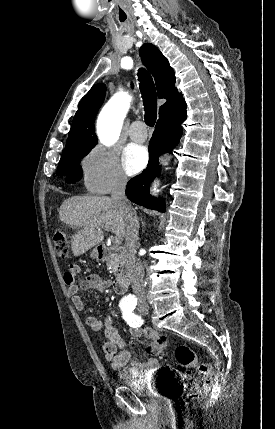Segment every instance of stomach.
Listing matches in <instances>:
<instances>
[{"instance_id": "obj_1", "label": "stomach", "mask_w": 275, "mask_h": 429, "mask_svg": "<svg viewBox=\"0 0 275 429\" xmlns=\"http://www.w3.org/2000/svg\"><path fill=\"white\" fill-rule=\"evenodd\" d=\"M92 258H98V254L96 250H93L90 255Z\"/></svg>"}]
</instances>
